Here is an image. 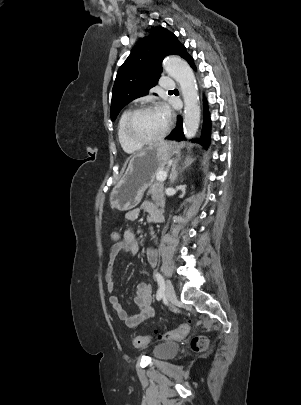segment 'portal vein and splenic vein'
<instances>
[{
	"label": "portal vein and splenic vein",
	"mask_w": 301,
	"mask_h": 405,
	"mask_svg": "<svg viewBox=\"0 0 301 405\" xmlns=\"http://www.w3.org/2000/svg\"><path fill=\"white\" fill-rule=\"evenodd\" d=\"M158 181H164L167 178V172L165 171H160L157 176H156Z\"/></svg>",
	"instance_id": "portal-vein-and-splenic-vein-1"
}]
</instances>
